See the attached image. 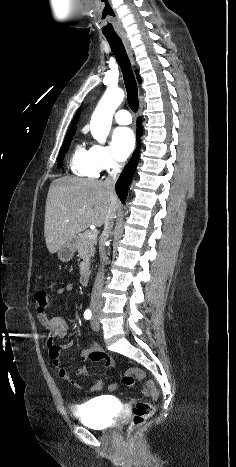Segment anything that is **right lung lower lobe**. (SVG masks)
<instances>
[{"instance_id":"98d812e1","label":"right lung lower lobe","mask_w":236,"mask_h":467,"mask_svg":"<svg viewBox=\"0 0 236 467\" xmlns=\"http://www.w3.org/2000/svg\"><path fill=\"white\" fill-rule=\"evenodd\" d=\"M141 119L139 118L137 121V142H138V148L136 151L133 153V156L131 157L130 161L128 164L125 166L123 169L119 179L116 182V193L121 200L122 203L125 202L127 192H128V186L130 184V181L134 175L137 163L139 161V144L140 140L139 137L141 135Z\"/></svg>"}]
</instances>
